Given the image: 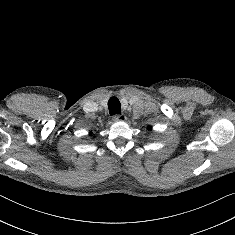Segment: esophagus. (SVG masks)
<instances>
[{"mask_svg": "<svg viewBox=\"0 0 235 235\" xmlns=\"http://www.w3.org/2000/svg\"><path fill=\"white\" fill-rule=\"evenodd\" d=\"M127 117L124 114H115L113 116V121H126Z\"/></svg>", "mask_w": 235, "mask_h": 235, "instance_id": "esophagus-1", "label": "esophagus"}]
</instances>
